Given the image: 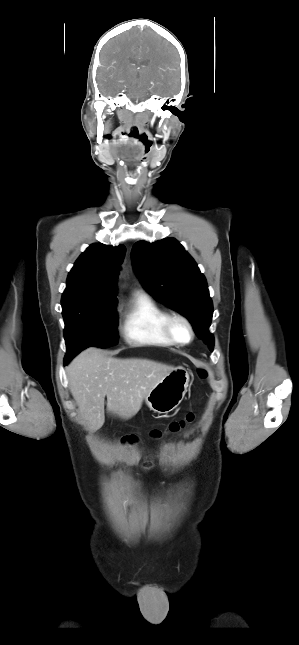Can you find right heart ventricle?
<instances>
[{"instance_id":"1","label":"right heart ventricle","mask_w":299,"mask_h":645,"mask_svg":"<svg viewBox=\"0 0 299 645\" xmlns=\"http://www.w3.org/2000/svg\"><path fill=\"white\" fill-rule=\"evenodd\" d=\"M167 311L149 294L136 292L123 312L121 333L129 344L169 347L173 343L163 332Z\"/></svg>"}]
</instances>
